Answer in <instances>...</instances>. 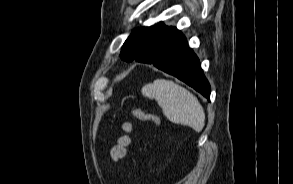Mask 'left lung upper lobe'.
<instances>
[{"instance_id":"left-lung-upper-lobe-1","label":"left lung upper lobe","mask_w":293,"mask_h":184,"mask_svg":"<svg viewBox=\"0 0 293 184\" xmlns=\"http://www.w3.org/2000/svg\"><path fill=\"white\" fill-rule=\"evenodd\" d=\"M164 28L165 25L163 22H160L155 26L141 27L133 31L122 47V52L120 53L121 59L127 62L133 60L143 62L150 58L147 43L153 36L162 32Z\"/></svg>"}]
</instances>
